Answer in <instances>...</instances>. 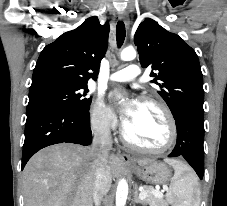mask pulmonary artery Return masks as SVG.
Wrapping results in <instances>:
<instances>
[{
	"label": "pulmonary artery",
	"mask_w": 227,
	"mask_h": 206,
	"mask_svg": "<svg viewBox=\"0 0 227 206\" xmlns=\"http://www.w3.org/2000/svg\"><path fill=\"white\" fill-rule=\"evenodd\" d=\"M141 75L138 65L131 64L119 71L112 73L109 80L113 82H129L137 79Z\"/></svg>",
	"instance_id": "obj_1"
}]
</instances>
